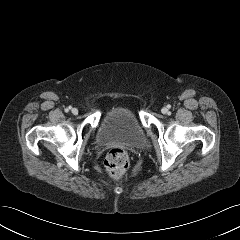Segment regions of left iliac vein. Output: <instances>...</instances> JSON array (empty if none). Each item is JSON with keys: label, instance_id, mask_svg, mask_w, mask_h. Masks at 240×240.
I'll use <instances>...</instances> for the list:
<instances>
[{"label": "left iliac vein", "instance_id": "obj_1", "mask_svg": "<svg viewBox=\"0 0 240 240\" xmlns=\"http://www.w3.org/2000/svg\"><path fill=\"white\" fill-rule=\"evenodd\" d=\"M161 111H162L163 114H166V113L168 112V109H167L166 107H163V108L161 109Z\"/></svg>", "mask_w": 240, "mask_h": 240}]
</instances>
